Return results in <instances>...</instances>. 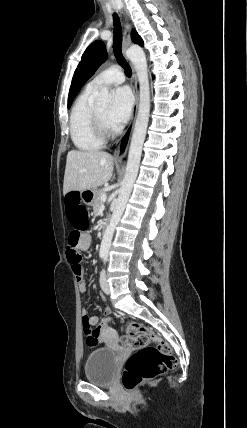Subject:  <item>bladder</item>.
<instances>
[{"label":"bladder","mask_w":247,"mask_h":428,"mask_svg":"<svg viewBox=\"0 0 247 428\" xmlns=\"http://www.w3.org/2000/svg\"><path fill=\"white\" fill-rule=\"evenodd\" d=\"M118 370L116 350L109 347L94 349L89 355L84 367L85 379L97 385L113 383Z\"/></svg>","instance_id":"obj_1"}]
</instances>
